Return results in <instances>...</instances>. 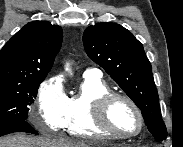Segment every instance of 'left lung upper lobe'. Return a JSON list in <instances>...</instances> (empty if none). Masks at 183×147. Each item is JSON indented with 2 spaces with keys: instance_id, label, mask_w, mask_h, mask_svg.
I'll use <instances>...</instances> for the list:
<instances>
[{
  "instance_id": "1",
  "label": "left lung upper lobe",
  "mask_w": 183,
  "mask_h": 147,
  "mask_svg": "<svg viewBox=\"0 0 183 147\" xmlns=\"http://www.w3.org/2000/svg\"><path fill=\"white\" fill-rule=\"evenodd\" d=\"M87 55L99 64L141 109L149 132L158 141L167 130L161 117L151 64L142 44L121 25L102 22L86 28Z\"/></svg>"
}]
</instances>
